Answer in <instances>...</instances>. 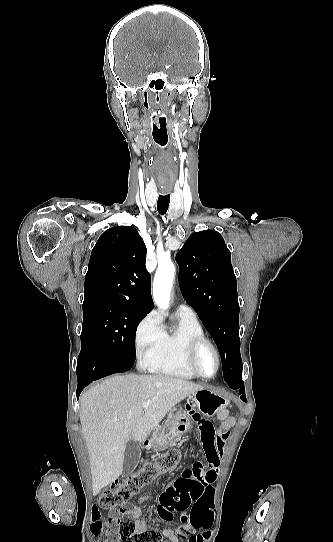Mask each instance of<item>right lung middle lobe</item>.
Returning a JSON list of instances; mask_svg holds the SVG:
<instances>
[{"label":"right lung middle lobe","mask_w":333,"mask_h":542,"mask_svg":"<svg viewBox=\"0 0 333 542\" xmlns=\"http://www.w3.org/2000/svg\"><path fill=\"white\" fill-rule=\"evenodd\" d=\"M83 314L80 355H90L89 346H93L113 359L133 366L136 330L148 312L118 305L94 304L83 306Z\"/></svg>","instance_id":"right-lung-middle-lobe-1"}]
</instances>
